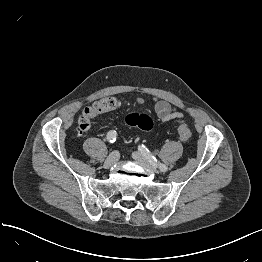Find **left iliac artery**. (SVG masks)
I'll use <instances>...</instances> for the list:
<instances>
[{
  "instance_id": "44dca946",
  "label": "left iliac artery",
  "mask_w": 262,
  "mask_h": 262,
  "mask_svg": "<svg viewBox=\"0 0 262 262\" xmlns=\"http://www.w3.org/2000/svg\"><path fill=\"white\" fill-rule=\"evenodd\" d=\"M139 151L149 160V162L152 165H154V166L158 165L160 170L163 171V172L167 171V169H168L167 166L157 162V159L150 153V151L144 145L139 146Z\"/></svg>"
}]
</instances>
